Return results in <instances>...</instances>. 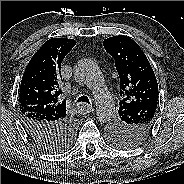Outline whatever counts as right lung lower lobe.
Listing matches in <instances>:
<instances>
[{
	"label": "right lung lower lobe",
	"instance_id": "98d812e1",
	"mask_svg": "<svg viewBox=\"0 0 184 184\" xmlns=\"http://www.w3.org/2000/svg\"><path fill=\"white\" fill-rule=\"evenodd\" d=\"M22 122L31 139L47 150L59 145L67 132H74V123L68 118L49 121L28 113L22 116Z\"/></svg>",
	"mask_w": 184,
	"mask_h": 184
}]
</instances>
